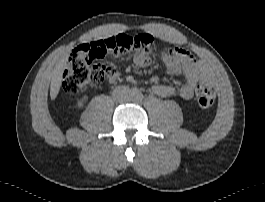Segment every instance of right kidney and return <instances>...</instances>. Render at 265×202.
<instances>
[{
  "label": "right kidney",
  "instance_id": "ca27d5eb",
  "mask_svg": "<svg viewBox=\"0 0 265 202\" xmlns=\"http://www.w3.org/2000/svg\"><path fill=\"white\" fill-rule=\"evenodd\" d=\"M83 102L84 100L82 99L81 101L78 102V107H82L83 106Z\"/></svg>",
  "mask_w": 265,
  "mask_h": 202
}]
</instances>
